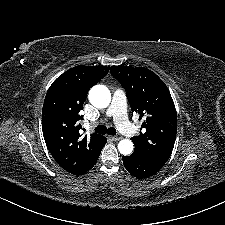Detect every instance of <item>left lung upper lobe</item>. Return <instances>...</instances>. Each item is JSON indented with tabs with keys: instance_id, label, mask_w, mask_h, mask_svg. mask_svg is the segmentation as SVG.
Wrapping results in <instances>:
<instances>
[{
	"instance_id": "left-lung-upper-lobe-1",
	"label": "left lung upper lobe",
	"mask_w": 225,
	"mask_h": 225,
	"mask_svg": "<svg viewBox=\"0 0 225 225\" xmlns=\"http://www.w3.org/2000/svg\"><path fill=\"white\" fill-rule=\"evenodd\" d=\"M112 76L125 88L132 112L143 121V132L131 138L134 153L165 164L174 147L177 114L164 82L144 67L111 66Z\"/></svg>"
}]
</instances>
